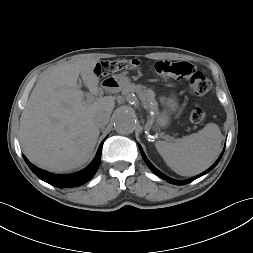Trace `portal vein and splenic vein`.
<instances>
[{
    "label": "portal vein and splenic vein",
    "mask_w": 253,
    "mask_h": 253,
    "mask_svg": "<svg viewBox=\"0 0 253 253\" xmlns=\"http://www.w3.org/2000/svg\"><path fill=\"white\" fill-rule=\"evenodd\" d=\"M92 101H93L92 95L89 94V93H87V94H86V102H87V103H91Z\"/></svg>",
    "instance_id": "1"
}]
</instances>
